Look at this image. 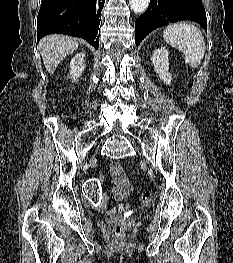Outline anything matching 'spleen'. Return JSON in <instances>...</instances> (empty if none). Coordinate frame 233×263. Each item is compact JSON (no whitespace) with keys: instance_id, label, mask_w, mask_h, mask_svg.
<instances>
[{"instance_id":"1","label":"spleen","mask_w":233,"mask_h":263,"mask_svg":"<svg viewBox=\"0 0 233 263\" xmlns=\"http://www.w3.org/2000/svg\"><path fill=\"white\" fill-rule=\"evenodd\" d=\"M164 40L181 51L191 68H197L204 57L206 46L201 31L192 24L174 23L163 32Z\"/></svg>"}]
</instances>
